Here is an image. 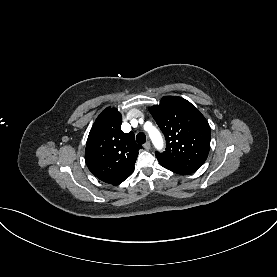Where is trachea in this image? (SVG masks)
<instances>
[{
    "mask_svg": "<svg viewBox=\"0 0 277 277\" xmlns=\"http://www.w3.org/2000/svg\"><path fill=\"white\" fill-rule=\"evenodd\" d=\"M136 141L138 144H144L146 142V136L144 133L140 132L136 135Z\"/></svg>",
    "mask_w": 277,
    "mask_h": 277,
    "instance_id": "trachea-1",
    "label": "trachea"
}]
</instances>
